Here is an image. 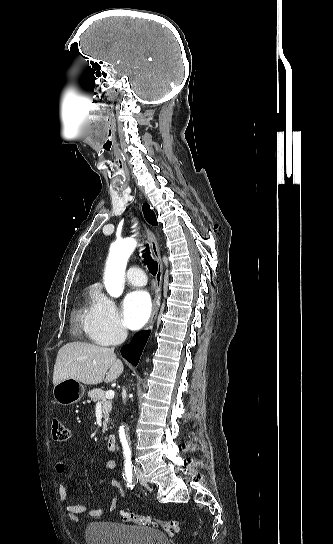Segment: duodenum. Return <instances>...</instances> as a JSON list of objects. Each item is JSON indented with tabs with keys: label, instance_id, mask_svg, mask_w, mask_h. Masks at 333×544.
Returning <instances> with one entry per match:
<instances>
[{
	"label": "duodenum",
	"instance_id": "1",
	"mask_svg": "<svg viewBox=\"0 0 333 544\" xmlns=\"http://www.w3.org/2000/svg\"><path fill=\"white\" fill-rule=\"evenodd\" d=\"M107 450L110 452L116 451L117 448V437L115 435H110L106 442Z\"/></svg>",
	"mask_w": 333,
	"mask_h": 544
}]
</instances>
